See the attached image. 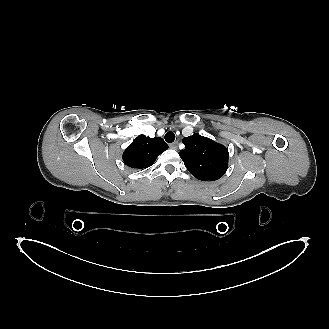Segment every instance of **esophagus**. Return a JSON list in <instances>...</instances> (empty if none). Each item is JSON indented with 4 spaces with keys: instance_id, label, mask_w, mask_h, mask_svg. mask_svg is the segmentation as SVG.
Returning <instances> with one entry per match:
<instances>
[{
    "instance_id": "1",
    "label": "esophagus",
    "mask_w": 329,
    "mask_h": 329,
    "mask_svg": "<svg viewBox=\"0 0 329 329\" xmlns=\"http://www.w3.org/2000/svg\"><path fill=\"white\" fill-rule=\"evenodd\" d=\"M169 147H170L171 149L177 150V148H178V143H177V142L171 143V144H169Z\"/></svg>"
}]
</instances>
